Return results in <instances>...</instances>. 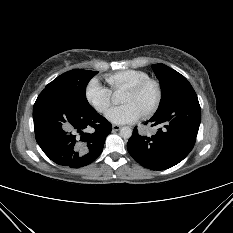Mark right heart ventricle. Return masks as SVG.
<instances>
[{
    "label": "right heart ventricle",
    "mask_w": 233,
    "mask_h": 233,
    "mask_svg": "<svg viewBox=\"0 0 233 233\" xmlns=\"http://www.w3.org/2000/svg\"><path fill=\"white\" fill-rule=\"evenodd\" d=\"M147 78H149L148 73L134 69L121 70L105 77L114 91L128 88Z\"/></svg>",
    "instance_id": "obj_1"
}]
</instances>
